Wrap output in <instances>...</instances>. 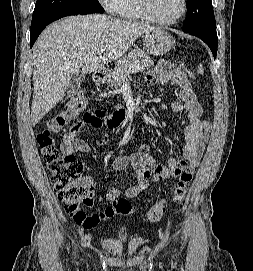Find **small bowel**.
I'll return each instance as SVG.
<instances>
[{
    "mask_svg": "<svg viewBox=\"0 0 253 271\" xmlns=\"http://www.w3.org/2000/svg\"><path fill=\"white\" fill-rule=\"evenodd\" d=\"M146 79L150 84H173L179 87L178 99L172 102L171 110L174 113L182 114L186 121L184 126L185 144L182 160L172 157L166 164L155 163L147 144L141 145L137 151L129 155L117 157L113 162L114 170L120 172L131 167L134 172L135 183L124 191V195L129 199L135 198L145 191L150 180L159 182L168 178H179L185 172L193 174L201 161L211 128L210 122L201 119L203 109L191 90L187 72L167 61H160L156 69L148 72ZM102 125V120L88 121L83 119L79 121L65 134L61 145L62 151L67 154L89 153L91 147L78 135L86 128H100ZM107 126L112 128L111 123H107ZM106 141V137H103L97 141V144L103 145ZM84 180L91 184L88 178ZM119 196L120 190L115 186L108 189L106 193V199L109 201H114ZM114 214L111 206L105 207L101 212L93 214L96 217L95 225L101 220L111 218Z\"/></svg>",
    "mask_w": 253,
    "mask_h": 271,
    "instance_id": "obj_1",
    "label": "small bowel"
}]
</instances>
